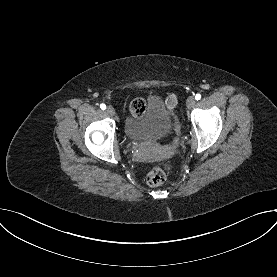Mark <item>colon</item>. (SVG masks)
<instances>
[{"instance_id":"5ec220e1","label":"colon","mask_w":277,"mask_h":277,"mask_svg":"<svg viewBox=\"0 0 277 277\" xmlns=\"http://www.w3.org/2000/svg\"><path fill=\"white\" fill-rule=\"evenodd\" d=\"M166 107L169 111H173L177 105L176 94H170L165 100ZM145 104L141 99H136L131 105L132 112L139 115L144 111ZM169 169L168 165L158 166L151 169L146 176V182L150 186H159L166 180V173Z\"/></svg>"}]
</instances>
